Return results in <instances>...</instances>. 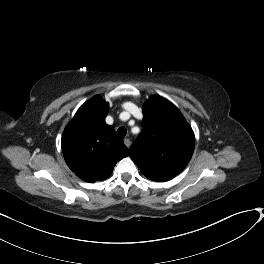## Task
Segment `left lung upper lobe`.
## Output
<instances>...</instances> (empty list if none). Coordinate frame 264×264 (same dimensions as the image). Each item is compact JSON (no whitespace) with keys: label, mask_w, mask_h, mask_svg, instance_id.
Instances as JSON below:
<instances>
[{"label":"left lung upper lobe","mask_w":264,"mask_h":264,"mask_svg":"<svg viewBox=\"0 0 264 264\" xmlns=\"http://www.w3.org/2000/svg\"><path fill=\"white\" fill-rule=\"evenodd\" d=\"M143 131L130 149V157L152 181H168L190 161L195 137L183 115L167 99L154 95L143 108Z\"/></svg>","instance_id":"5c2ea615"}]
</instances>
